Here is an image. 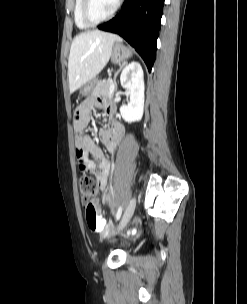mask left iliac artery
I'll list each match as a JSON object with an SVG mask.
<instances>
[{
	"label": "left iliac artery",
	"instance_id": "1",
	"mask_svg": "<svg viewBox=\"0 0 247 304\" xmlns=\"http://www.w3.org/2000/svg\"><path fill=\"white\" fill-rule=\"evenodd\" d=\"M121 214H122V207L120 206V207L118 208L117 213H116V220H119V219H120Z\"/></svg>",
	"mask_w": 247,
	"mask_h": 304
}]
</instances>
